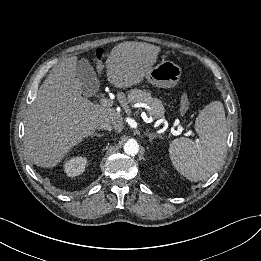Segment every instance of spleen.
<instances>
[{"label":"spleen","instance_id":"1","mask_svg":"<svg viewBox=\"0 0 261 261\" xmlns=\"http://www.w3.org/2000/svg\"><path fill=\"white\" fill-rule=\"evenodd\" d=\"M199 142L181 137L169 146V157L178 172L190 181L207 180L220 166L226 148L227 125L223 104L206 105L195 121Z\"/></svg>","mask_w":261,"mask_h":261}]
</instances>
